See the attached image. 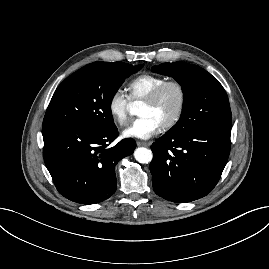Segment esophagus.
I'll use <instances>...</instances> for the list:
<instances>
[{
	"label": "esophagus",
	"instance_id": "obj_1",
	"mask_svg": "<svg viewBox=\"0 0 269 269\" xmlns=\"http://www.w3.org/2000/svg\"><path fill=\"white\" fill-rule=\"evenodd\" d=\"M137 146H149V143L143 141H137Z\"/></svg>",
	"mask_w": 269,
	"mask_h": 269
}]
</instances>
